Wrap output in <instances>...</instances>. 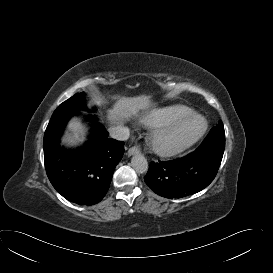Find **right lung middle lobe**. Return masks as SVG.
<instances>
[{"instance_id":"right-lung-middle-lobe-1","label":"right lung middle lobe","mask_w":273,"mask_h":273,"mask_svg":"<svg viewBox=\"0 0 273 273\" xmlns=\"http://www.w3.org/2000/svg\"><path fill=\"white\" fill-rule=\"evenodd\" d=\"M84 93H78L63 102L62 104L57 107L55 111L61 112V111H78L82 109H86V105L84 103L85 97Z\"/></svg>"}]
</instances>
